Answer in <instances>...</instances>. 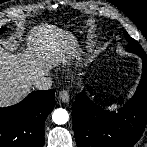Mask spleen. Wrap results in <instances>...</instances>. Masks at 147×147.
I'll return each mask as SVG.
<instances>
[{
    "label": "spleen",
    "instance_id": "spleen-1",
    "mask_svg": "<svg viewBox=\"0 0 147 147\" xmlns=\"http://www.w3.org/2000/svg\"><path fill=\"white\" fill-rule=\"evenodd\" d=\"M119 106V104H112V105H110L108 108L111 110V109H115V108H117Z\"/></svg>",
    "mask_w": 147,
    "mask_h": 147
}]
</instances>
